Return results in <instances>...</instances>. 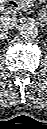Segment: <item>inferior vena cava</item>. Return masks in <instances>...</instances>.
<instances>
[{
	"mask_svg": "<svg viewBox=\"0 0 47 129\" xmlns=\"http://www.w3.org/2000/svg\"><path fill=\"white\" fill-rule=\"evenodd\" d=\"M17 24V18L5 16L1 18L0 28L2 31H8Z\"/></svg>",
	"mask_w": 47,
	"mask_h": 129,
	"instance_id": "inferior-vena-cava-1",
	"label": "inferior vena cava"
}]
</instances>
